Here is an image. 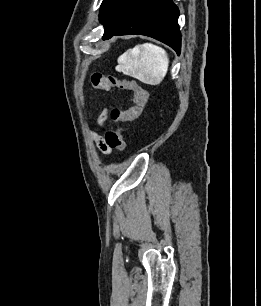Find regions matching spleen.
<instances>
[{"label": "spleen", "instance_id": "1", "mask_svg": "<svg viewBox=\"0 0 261 306\" xmlns=\"http://www.w3.org/2000/svg\"><path fill=\"white\" fill-rule=\"evenodd\" d=\"M169 66L166 51L151 43L136 45L118 58L116 70L143 83L158 85Z\"/></svg>", "mask_w": 261, "mask_h": 306}]
</instances>
